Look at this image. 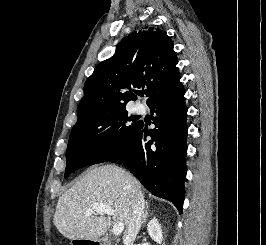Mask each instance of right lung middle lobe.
Segmentation results:
<instances>
[{"label": "right lung middle lobe", "instance_id": "dd1d6c3e", "mask_svg": "<svg viewBox=\"0 0 266 245\" xmlns=\"http://www.w3.org/2000/svg\"><path fill=\"white\" fill-rule=\"evenodd\" d=\"M125 108L86 116L74 125L66 152L67 178L75 170L109 161L132 142L139 123L127 117Z\"/></svg>", "mask_w": 266, "mask_h": 245}]
</instances>
